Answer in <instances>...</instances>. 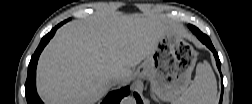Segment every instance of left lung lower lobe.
Returning a JSON list of instances; mask_svg holds the SVG:
<instances>
[{"instance_id": "0a47b994", "label": "left lung lower lobe", "mask_w": 252, "mask_h": 104, "mask_svg": "<svg viewBox=\"0 0 252 104\" xmlns=\"http://www.w3.org/2000/svg\"><path fill=\"white\" fill-rule=\"evenodd\" d=\"M189 28L190 30L197 36V38L203 43L205 44L214 54V57L216 59V64H217V67L219 69V72L221 74V63H220V60H219V57H218V54L210 40V38L203 34L197 27L195 26H192V25H189ZM221 79H222V91H221V97H220V104L222 103V97H223V78H222V74H221ZM134 96L137 100V104H142V100L140 98V96L137 94V93H134Z\"/></svg>"}]
</instances>
